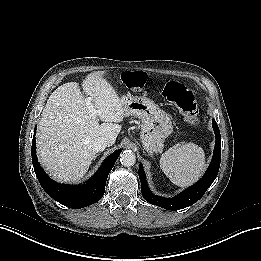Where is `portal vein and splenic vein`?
Listing matches in <instances>:
<instances>
[{"instance_id":"obj_1","label":"portal vein and splenic vein","mask_w":261,"mask_h":261,"mask_svg":"<svg viewBox=\"0 0 261 261\" xmlns=\"http://www.w3.org/2000/svg\"><path fill=\"white\" fill-rule=\"evenodd\" d=\"M87 107L89 108L90 112L93 115H97V111L93 108L92 104H91V98H86L85 100Z\"/></svg>"}]
</instances>
